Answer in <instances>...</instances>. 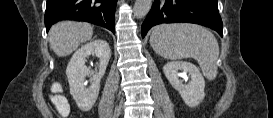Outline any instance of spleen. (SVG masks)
<instances>
[{"mask_svg":"<svg viewBox=\"0 0 273 118\" xmlns=\"http://www.w3.org/2000/svg\"><path fill=\"white\" fill-rule=\"evenodd\" d=\"M150 44L157 54L170 60L194 58L209 80L217 76L218 42L203 27L192 24L156 26L152 30Z\"/></svg>","mask_w":273,"mask_h":118,"instance_id":"obj_1","label":"spleen"}]
</instances>
